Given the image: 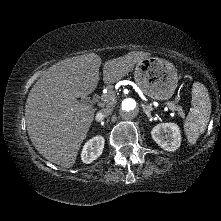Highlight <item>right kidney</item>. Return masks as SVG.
I'll use <instances>...</instances> for the list:
<instances>
[{
    "label": "right kidney",
    "instance_id": "ca27d5eb",
    "mask_svg": "<svg viewBox=\"0 0 221 221\" xmlns=\"http://www.w3.org/2000/svg\"><path fill=\"white\" fill-rule=\"evenodd\" d=\"M105 140L102 136H95L85 143L81 152V160L85 164L92 163L103 151Z\"/></svg>",
    "mask_w": 221,
    "mask_h": 221
}]
</instances>
